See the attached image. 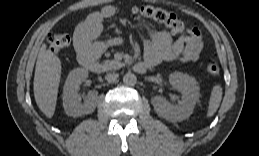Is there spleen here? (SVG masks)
<instances>
[{
    "mask_svg": "<svg viewBox=\"0 0 259 156\" xmlns=\"http://www.w3.org/2000/svg\"><path fill=\"white\" fill-rule=\"evenodd\" d=\"M222 94H223V90L221 85L219 84L214 85L210 94L208 110H207V118L212 117L216 113L222 100Z\"/></svg>",
    "mask_w": 259,
    "mask_h": 156,
    "instance_id": "spleen-1",
    "label": "spleen"
}]
</instances>
